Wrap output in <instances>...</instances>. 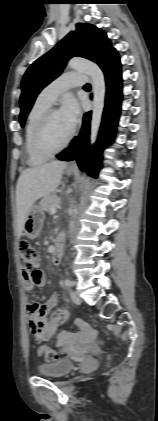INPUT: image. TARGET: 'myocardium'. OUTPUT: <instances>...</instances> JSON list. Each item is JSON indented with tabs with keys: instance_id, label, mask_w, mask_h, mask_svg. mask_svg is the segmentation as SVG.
Wrapping results in <instances>:
<instances>
[{
	"instance_id": "1",
	"label": "myocardium",
	"mask_w": 158,
	"mask_h": 421,
	"mask_svg": "<svg viewBox=\"0 0 158 421\" xmlns=\"http://www.w3.org/2000/svg\"><path fill=\"white\" fill-rule=\"evenodd\" d=\"M59 111L57 108L49 107L41 116L34 131V147L36 151L46 157H51L63 151L72 141L74 131L72 130L67 139L58 147L51 148L46 141V131L51 115Z\"/></svg>"
}]
</instances>
